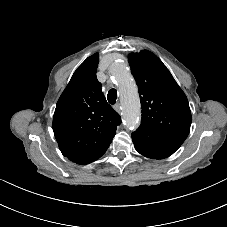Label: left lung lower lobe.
Returning <instances> with one entry per match:
<instances>
[{"instance_id":"1","label":"left lung lower lobe","mask_w":227,"mask_h":227,"mask_svg":"<svg viewBox=\"0 0 227 227\" xmlns=\"http://www.w3.org/2000/svg\"><path fill=\"white\" fill-rule=\"evenodd\" d=\"M135 149L152 159H164L172 155L181 144L151 129L139 127L132 133Z\"/></svg>"}]
</instances>
